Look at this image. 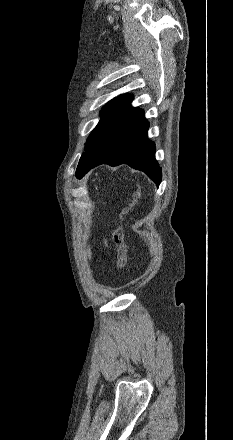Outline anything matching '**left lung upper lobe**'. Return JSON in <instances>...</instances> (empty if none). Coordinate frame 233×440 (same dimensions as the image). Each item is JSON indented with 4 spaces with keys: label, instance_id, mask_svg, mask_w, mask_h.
<instances>
[{
    "label": "left lung upper lobe",
    "instance_id": "obj_1",
    "mask_svg": "<svg viewBox=\"0 0 233 440\" xmlns=\"http://www.w3.org/2000/svg\"><path fill=\"white\" fill-rule=\"evenodd\" d=\"M133 100L131 94H122L109 101L101 110V119L87 139L85 153L82 154L79 164L85 159L90 149L105 131L107 126L126 108ZM78 164V165H79Z\"/></svg>",
    "mask_w": 233,
    "mask_h": 440
}]
</instances>
